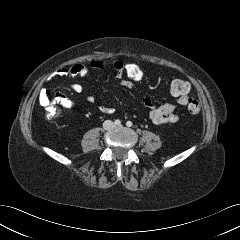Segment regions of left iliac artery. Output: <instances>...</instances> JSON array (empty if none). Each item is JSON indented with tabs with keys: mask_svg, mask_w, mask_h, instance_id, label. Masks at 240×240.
<instances>
[{
	"mask_svg": "<svg viewBox=\"0 0 240 240\" xmlns=\"http://www.w3.org/2000/svg\"><path fill=\"white\" fill-rule=\"evenodd\" d=\"M132 122L131 121H127V123H126V125L128 126V127H131L132 126Z\"/></svg>",
	"mask_w": 240,
	"mask_h": 240,
	"instance_id": "1",
	"label": "left iliac artery"
}]
</instances>
